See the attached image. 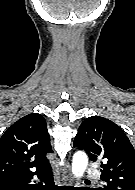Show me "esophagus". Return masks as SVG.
Returning a JSON list of instances; mask_svg holds the SVG:
<instances>
[{"label":"esophagus","instance_id":"obj_1","mask_svg":"<svg viewBox=\"0 0 135 190\" xmlns=\"http://www.w3.org/2000/svg\"><path fill=\"white\" fill-rule=\"evenodd\" d=\"M61 181H62V184L65 185V186H71L73 184V177H72V174H71L69 164H66L61 169Z\"/></svg>","mask_w":135,"mask_h":190}]
</instances>
